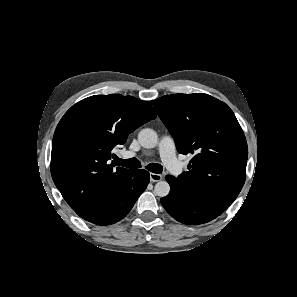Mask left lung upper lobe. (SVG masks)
I'll list each match as a JSON object with an SVG mask.
<instances>
[{
	"label": "left lung upper lobe",
	"mask_w": 297,
	"mask_h": 297,
	"mask_svg": "<svg viewBox=\"0 0 297 297\" xmlns=\"http://www.w3.org/2000/svg\"><path fill=\"white\" fill-rule=\"evenodd\" d=\"M182 154H196L175 181L219 215L236 199L246 178L247 142L233 111L202 93L171 94L151 101Z\"/></svg>",
	"instance_id": "5c2ea615"
}]
</instances>
